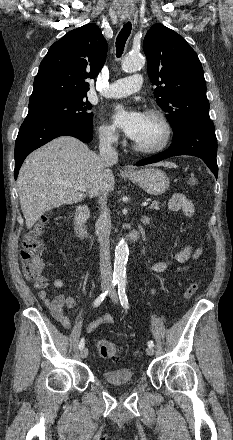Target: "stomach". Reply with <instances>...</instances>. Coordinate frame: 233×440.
I'll list each match as a JSON object with an SVG mask.
<instances>
[{
  "mask_svg": "<svg viewBox=\"0 0 233 440\" xmlns=\"http://www.w3.org/2000/svg\"><path fill=\"white\" fill-rule=\"evenodd\" d=\"M127 177L150 195H161L170 183L166 173L156 168H145L134 175L127 174Z\"/></svg>",
  "mask_w": 233,
  "mask_h": 440,
  "instance_id": "obj_1",
  "label": "stomach"
}]
</instances>
